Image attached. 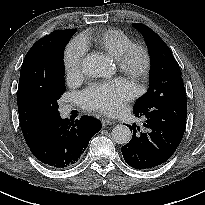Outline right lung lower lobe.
Wrapping results in <instances>:
<instances>
[{"label":"right lung lower lobe","mask_w":205,"mask_h":205,"mask_svg":"<svg viewBox=\"0 0 205 205\" xmlns=\"http://www.w3.org/2000/svg\"><path fill=\"white\" fill-rule=\"evenodd\" d=\"M100 129V121L90 116H82L75 122L57 116L28 146L42 163L52 168H67L78 162L91 137Z\"/></svg>","instance_id":"right-lung-lower-lobe-1"}]
</instances>
